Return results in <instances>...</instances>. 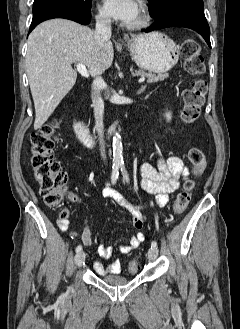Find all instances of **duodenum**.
Here are the masks:
<instances>
[{
	"label": "duodenum",
	"mask_w": 240,
	"mask_h": 329,
	"mask_svg": "<svg viewBox=\"0 0 240 329\" xmlns=\"http://www.w3.org/2000/svg\"><path fill=\"white\" fill-rule=\"evenodd\" d=\"M72 128L76 138L80 142L84 144H87L89 142L92 132L84 125V123L79 118H75L73 120ZM116 129L117 124H114L110 127L108 133L111 135L116 131Z\"/></svg>",
	"instance_id": "obj_1"
}]
</instances>
